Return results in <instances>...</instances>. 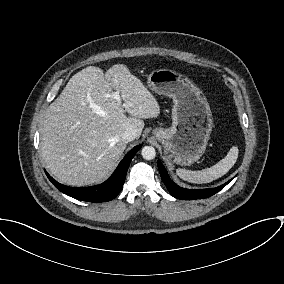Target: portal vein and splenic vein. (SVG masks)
<instances>
[{
  "label": "portal vein and splenic vein",
  "instance_id": "1",
  "mask_svg": "<svg viewBox=\"0 0 284 284\" xmlns=\"http://www.w3.org/2000/svg\"><path fill=\"white\" fill-rule=\"evenodd\" d=\"M111 96L116 99L117 101H120V95L119 92H112Z\"/></svg>",
  "mask_w": 284,
  "mask_h": 284
}]
</instances>
